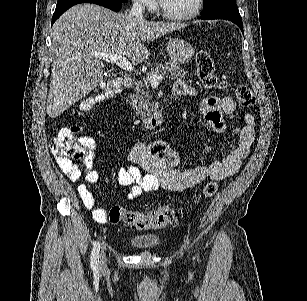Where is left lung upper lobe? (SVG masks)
Segmentation results:
<instances>
[{"label":"left lung upper lobe","mask_w":307,"mask_h":301,"mask_svg":"<svg viewBox=\"0 0 307 301\" xmlns=\"http://www.w3.org/2000/svg\"><path fill=\"white\" fill-rule=\"evenodd\" d=\"M204 19H242L235 0H203Z\"/></svg>","instance_id":"1"}]
</instances>
